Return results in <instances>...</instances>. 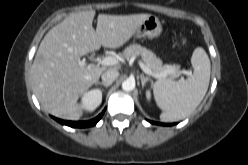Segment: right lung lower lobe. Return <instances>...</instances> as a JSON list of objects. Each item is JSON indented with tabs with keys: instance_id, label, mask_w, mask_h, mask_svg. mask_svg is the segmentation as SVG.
Segmentation results:
<instances>
[{
	"instance_id": "right-lung-lower-lobe-1",
	"label": "right lung lower lobe",
	"mask_w": 248,
	"mask_h": 165,
	"mask_svg": "<svg viewBox=\"0 0 248 165\" xmlns=\"http://www.w3.org/2000/svg\"><path fill=\"white\" fill-rule=\"evenodd\" d=\"M103 114H104V111L101 114H99L96 118L89 120V121H82V122L81 121H78V122L64 121L58 118H54V119L63 125H67L70 127H77V128H85V127L96 125V123L102 118Z\"/></svg>"
}]
</instances>
